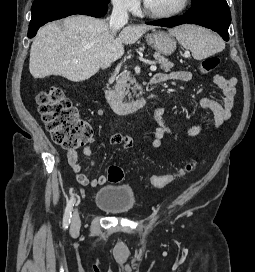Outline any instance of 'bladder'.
<instances>
[{
	"instance_id": "31cf9c89",
	"label": "bladder",
	"mask_w": 255,
	"mask_h": 272,
	"mask_svg": "<svg viewBox=\"0 0 255 272\" xmlns=\"http://www.w3.org/2000/svg\"><path fill=\"white\" fill-rule=\"evenodd\" d=\"M94 204L110 214H126L135 207V191L128 184L105 185L97 191Z\"/></svg>"
}]
</instances>
